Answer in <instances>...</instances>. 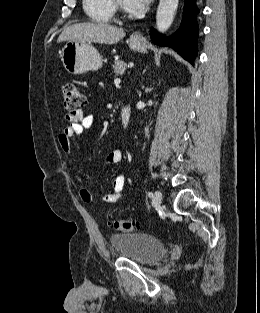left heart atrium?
I'll return each mask as SVG.
<instances>
[{
    "label": "left heart atrium",
    "instance_id": "left-heart-atrium-1",
    "mask_svg": "<svg viewBox=\"0 0 260 313\" xmlns=\"http://www.w3.org/2000/svg\"><path fill=\"white\" fill-rule=\"evenodd\" d=\"M125 8L139 13L144 11L152 0H122Z\"/></svg>",
    "mask_w": 260,
    "mask_h": 313
}]
</instances>
